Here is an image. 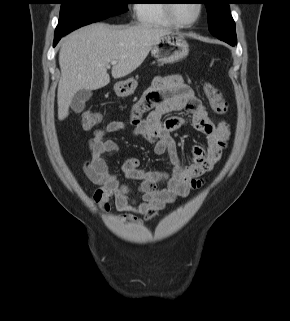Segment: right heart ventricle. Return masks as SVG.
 I'll use <instances>...</instances> for the list:
<instances>
[{
	"label": "right heart ventricle",
	"mask_w": 290,
	"mask_h": 321,
	"mask_svg": "<svg viewBox=\"0 0 290 321\" xmlns=\"http://www.w3.org/2000/svg\"><path fill=\"white\" fill-rule=\"evenodd\" d=\"M166 0H140L135 5L136 21L149 26H173L166 13Z\"/></svg>",
	"instance_id": "1"
}]
</instances>
